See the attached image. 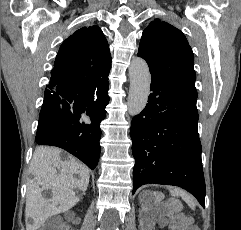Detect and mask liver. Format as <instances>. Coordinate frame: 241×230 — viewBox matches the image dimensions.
Returning a JSON list of instances; mask_svg holds the SVG:
<instances>
[{
    "mask_svg": "<svg viewBox=\"0 0 241 230\" xmlns=\"http://www.w3.org/2000/svg\"><path fill=\"white\" fill-rule=\"evenodd\" d=\"M30 172L33 179L27 186L26 230H37L49 216L74 207L80 200L76 191L85 193L89 185V169L55 147L36 148ZM46 188L52 190L50 200L41 195Z\"/></svg>",
    "mask_w": 241,
    "mask_h": 230,
    "instance_id": "obj_1",
    "label": "liver"
}]
</instances>
